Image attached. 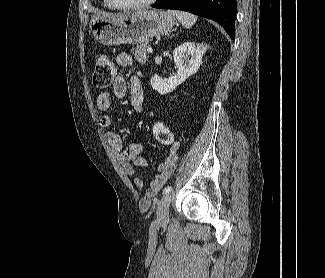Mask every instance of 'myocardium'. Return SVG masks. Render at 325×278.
<instances>
[{
  "label": "myocardium",
  "mask_w": 325,
  "mask_h": 278,
  "mask_svg": "<svg viewBox=\"0 0 325 278\" xmlns=\"http://www.w3.org/2000/svg\"><path fill=\"white\" fill-rule=\"evenodd\" d=\"M157 0H145L141 3L136 4H121L117 0H108L109 4L114 7L115 9L120 10H137L143 9L153 5Z\"/></svg>",
  "instance_id": "myocardium-1"
}]
</instances>
